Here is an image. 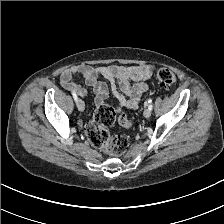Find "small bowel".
Masks as SVG:
<instances>
[{"label": "small bowel", "instance_id": "1", "mask_svg": "<svg viewBox=\"0 0 224 224\" xmlns=\"http://www.w3.org/2000/svg\"><path fill=\"white\" fill-rule=\"evenodd\" d=\"M153 67L149 65H107L91 66L82 64L64 70L60 76V83L68 91H74L83 97L87 91L74 81L75 76H81L87 86L95 93V104H105L108 97V85L99 80L103 78L110 84V88L118 102L119 109H137L140 97L149 90L145 82L153 74Z\"/></svg>", "mask_w": 224, "mask_h": 224}]
</instances>
